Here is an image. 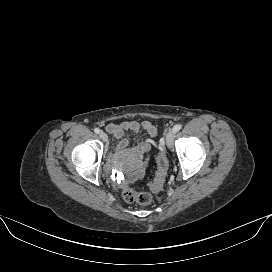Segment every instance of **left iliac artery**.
Listing matches in <instances>:
<instances>
[{
  "instance_id": "44dca946",
  "label": "left iliac artery",
  "mask_w": 272,
  "mask_h": 272,
  "mask_svg": "<svg viewBox=\"0 0 272 272\" xmlns=\"http://www.w3.org/2000/svg\"><path fill=\"white\" fill-rule=\"evenodd\" d=\"M180 129H181V125H180V124H176V125L173 127V131H174L175 133L178 132Z\"/></svg>"
}]
</instances>
